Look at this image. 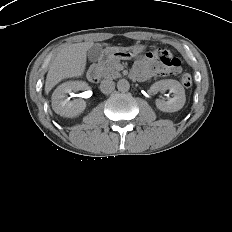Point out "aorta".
Returning a JSON list of instances; mask_svg holds the SVG:
<instances>
[{"label":"aorta","mask_w":232,"mask_h":232,"mask_svg":"<svg viewBox=\"0 0 232 232\" xmlns=\"http://www.w3.org/2000/svg\"><path fill=\"white\" fill-rule=\"evenodd\" d=\"M117 88L121 92H126V91L129 90L130 84H129V82L126 79H120L117 82Z\"/></svg>","instance_id":"1"}]
</instances>
